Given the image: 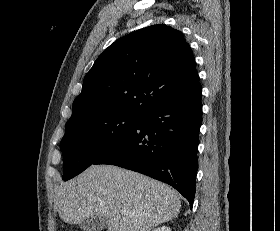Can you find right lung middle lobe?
Instances as JSON below:
<instances>
[{"label":"right lung middle lobe","mask_w":280,"mask_h":231,"mask_svg":"<svg viewBox=\"0 0 280 231\" xmlns=\"http://www.w3.org/2000/svg\"><path fill=\"white\" fill-rule=\"evenodd\" d=\"M141 117L116 114L70 119L60 144L64 160L62 179L75 177L104 156L137 127Z\"/></svg>","instance_id":"right-lung-middle-lobe-1"}]
</instances>
